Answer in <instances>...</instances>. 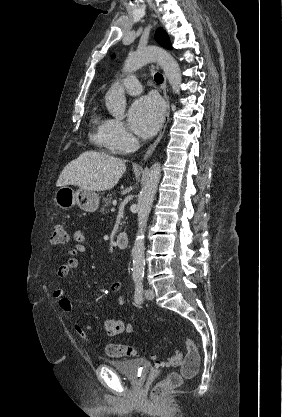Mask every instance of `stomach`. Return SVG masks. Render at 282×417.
Wrapping results in <instances>:
<instances>
[{"instance_id": "0dacf381", "label": "stomach", "mask_w": 282, "mask_h": 417, "mask_svg": "<svg viewBox=\"0 0 282 417\" xmlns=\"http://www.w3.org/2000/svg\"><path fill=\"white\" fill-rule=\"evenodd\" d=\"M54 204L59 206V209H64V211H69L72 209V206L78 204L79 209L86 211V213H95L99 206L100 196L93 192V190H83V188H78L74 190L72 186H59L54 194Z\"/></svg>"}]
</instances>
